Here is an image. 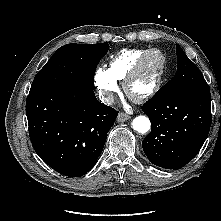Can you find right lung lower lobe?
<instances>
[{"mask_svg":"<svg viewBox=\"0 0 221 221\" xmlns=\"http://www.w3.org/2000/svg\"><path fill=\"white\" fill-rule=\"evenodd\" d=\"M117 114L85 86L29 93L26 100L34 150L51 168L69 177L93 168Z\"/></svg>","mask_w":221,"mask_h":221,"instance_id":"1","label":"right lung lower lobe"}]
</instances>
